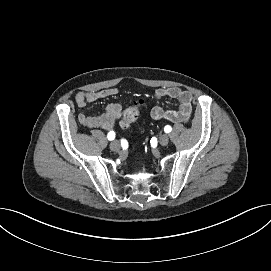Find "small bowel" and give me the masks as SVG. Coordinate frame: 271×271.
Masks as SVG:
<instances>
[{
	"label": "small bowel",
	"mask_w": 271,
	"mask_h": 271,
	"mask_svg": "<svg viewBox=\"0 0 271 271\" xmlns=\"http://www.w3.org/2000/svg\"><path fill=\"white\" fill-rule=\"evenodd\" d=\"M118 93L116 88H106L97 91H80L75 95V101L80 109L87 106L88 103L95 102L99 99L112 97ZM157 99H175L179 102V106L174 110H167L160 106H154L150 109L149 114L153 119H166L174 123L186 122L189 120L192 114V93L178 88H160L155 92ZM122 105L120 103H110L106 107V111L99 116H86L79 114V122L94 130H111L115 122L120 118L122 114Z\"/></svg>",
	"instance_id": "obj_1"
}]
</instances>
